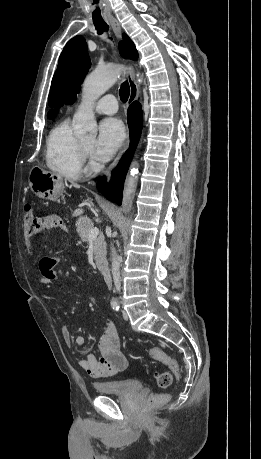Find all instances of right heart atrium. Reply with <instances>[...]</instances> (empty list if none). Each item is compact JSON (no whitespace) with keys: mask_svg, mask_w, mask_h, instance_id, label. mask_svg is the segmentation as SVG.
<instances>
[{"mask_svg":"<svg viewBox=\"0 0 261 459\" xmlns=\"http://www.w3.org/2000/svg\"><path fill=\"white\" fill-rule=\"evenodd\" d=\"M84 162L87 166L91 165V160L89 158H84Z\"/></svg>","mask_w":261,"mask_h":459,"instance_id":"right-heart-atrium-1","label":"right heart atrium"}]
</instances>
